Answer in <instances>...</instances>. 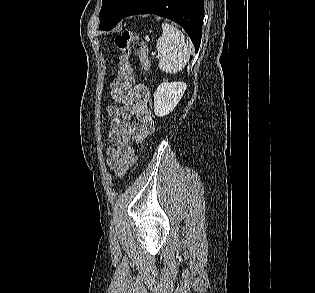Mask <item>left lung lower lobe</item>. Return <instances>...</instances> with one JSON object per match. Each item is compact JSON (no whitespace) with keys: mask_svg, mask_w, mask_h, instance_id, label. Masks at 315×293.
<instances>
[{"mask_svg":"<svg viewBox=\"0 0 315 293\" xmlns=\"http://www.w3.org/2000/svg\"><path fill=\"white\" fill-rule=\"evenodd\" d=\"M138 14H156L178 23L198 51L204 16L203 0H140L125 17Z\"/></svg>","mask_w":315,"mask_h":293,"instance_id":"obj_1","label":"left lung lower lobe"}]
</instances>
